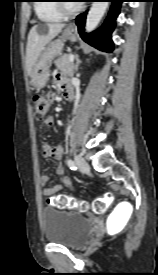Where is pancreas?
Segmentation results:
<instances>
[{"label": "pancreas", "instance_id": "obj_1", "mask_svg": "<svg viewBox=\"0 0 158 275\" xmlns=\"http://www.w3.org/2000/svg\"><path fill=\"white\" fill-rule=\"evenodd\" d=\"M70 56V54H65L54 61V64L57 67V69H59L63 74H66L68 76H72L75 71L74 63L70 62Z\"/></svg>", "mask_w": 158, "mask_h": 275}]
</instances>
